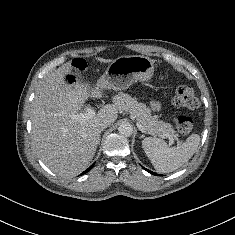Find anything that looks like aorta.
Returning a JSON list of instances; mask_svg holds the SVG:
<instances>
[{"label":"aorta","instance_id":"obj_1","mask_svg":"<svg viewBox=\"0 0 235 235\" xmlns=\"http://www.w3.org/2000/svg\"><path fill=\"white\" fill-rule=\"evenodd\" d=\"M118 132L123 136L129 137L133 133V126L128 122L121 123L118 127Z\"/></svg>","mask_w":235,"mask_h":235}]
</instances>
